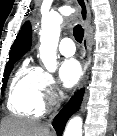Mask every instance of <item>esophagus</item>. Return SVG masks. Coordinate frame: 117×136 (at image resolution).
<instances>
[{
	"label": "esophagus",
	"mask_w": 117,
	"mask_h": 136,
	"mask_svg": "<svg viewBox=\"0 0 117 136\" xmlns=\"http://www.w3.org/2000/svg\"><path fill=\"white\" fill-rule=\"evenodd\" d=\"M79 14L81 17V20L84 25V38L82 47L84 50V53L89 55L91 52V38H92V27H91V13H90V7L86 0H75ZM87 70H88V62H86L85 70H84V76L82 78L81 83L79 84V89L83 87L86 79H87Z\"/></svg>",
	"instance_id": "1"
}]
</instances>
